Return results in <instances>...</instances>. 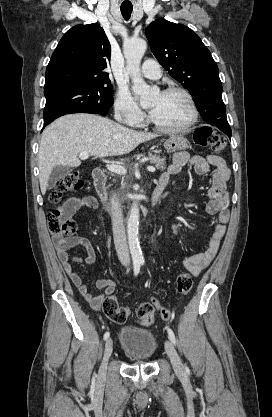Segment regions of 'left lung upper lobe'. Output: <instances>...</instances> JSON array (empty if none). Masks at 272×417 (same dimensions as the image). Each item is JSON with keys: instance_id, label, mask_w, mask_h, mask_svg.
Returning <instances> with one entry per match:
<instances>
[{"instance_id": "5c2ea615", "label": "left lung upper lobe", "mask_w": 272, "mask_h": 417, "mask_svg": "<svg viewBox=\"0 0 272 417\" xmlns=\"http://www.w3.org/2000/svg\"><path fill=\"white\" fill-rule=\"evenodd\" d=\"M151 50L171 77L189 90L202 118L231 131L218 66L200 37L182 24L157 19L145 30Z\"/></svg>"}]
</instances>
